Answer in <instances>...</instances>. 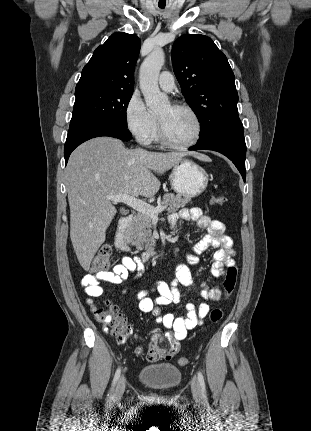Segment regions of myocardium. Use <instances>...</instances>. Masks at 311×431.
<instances>
[{"mask_svg":"<svg viewBox=\"0 0 311 431\" xmlns=\"http://www.w3.org/2000/svg\"><path fill=\"white\" fill-rule=\"evenodd\" d=\"M172 107H174L175 109H178V110L188 111L189 113H191L194 116V118L197 121V125H198L197 135L194 138V140H192L191 142H188V143L181 144V143L174 142L167 137L165 126H164L162 120L157 117V139L163 145L170 147V148H174V149H181L182 150V149H188V148L194 147L201 140L203 133H204V123H203V120H202L200 114L198 113V111L195 108H193L192 106L185 104V103L173 104Z\"/></svg>","mask_w":311,"mask_h":431,"instance_id":"f54148a6","label":"myocardium"}]
</instances>
